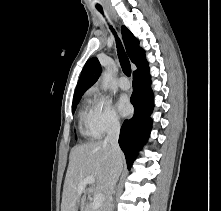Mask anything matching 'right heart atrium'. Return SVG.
<instances>
[{"label": "right heart atrium", "instance_id": "1", "mask_svg": "<svg viewBox=\"0 0 221 211\" xmlns=\"http://www.w3.org/2000/svg\"><path fill=\"white\" fill-rule=\"evenodd\" d=\"M91 124L98 136L115 131L120 127V119L111 101L101 93H92L90 106Z\"/></svg>", "mask_w": 221, "mask_h": 211}]
</instances>
